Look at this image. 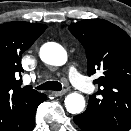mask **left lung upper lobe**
Segmentation results:
<instances>
[{
    "instance_id": "obj_1",
    "label": "left lung upper lobe",
    "mask_w": 131,
    "mask_h": 131,
    "mask_svg": "<svg viewBox=\"0 0 131 131\" xmlns=\"http://www.w3.org/2000/svg\"><path fill=\"white\" fill-rule=\"evenodd\" d=\"M84 46L87 71L99 90L89 97L86 112L112 131L131 127V38L102 19H87L68 27ZM99 95V96H96Z\"/></svg>"
}]
</instances>
